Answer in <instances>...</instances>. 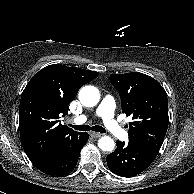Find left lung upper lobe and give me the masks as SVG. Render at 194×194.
<instances>
[{"label":"left lung upper lobe","mask_w":194,"mask_h":194,"mask_svg":"<svg viewBox=\"0 0 194 194\" xmlns=\"http://www.w3.org/2000/svg\"><path fill=\"white\" fill-rule=\"evenodd\" d=\"M110 82L119 92L122 112L132 116L129 140L159 151L168 127V99L152 77L138 72L112 74Z\"/></svg>","instance_id":"left-lung-upper-lobe-1"}]
</instances>
